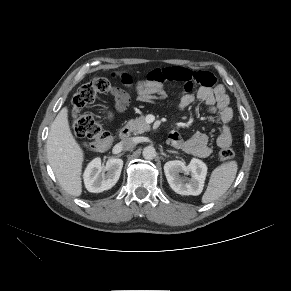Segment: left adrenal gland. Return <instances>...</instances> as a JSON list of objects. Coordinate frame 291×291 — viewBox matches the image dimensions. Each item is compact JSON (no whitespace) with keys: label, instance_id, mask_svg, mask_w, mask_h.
I'll return each mask as SVG.
<instances>
[{"label":"left adrenal gland","instance_id":"a2214340","mask_svg":"<svg viewBox=\"0 0 291 291\" xmlns=\"http://www.w3.org/2000/svg\"><path fill=\"white\" fill-rule=\"evenodd\" d=\"M167 152H169V153H177L176 151H173V150H167Z\"/></svg>","mask_w":291,"mask_h":291}]
</instances>
